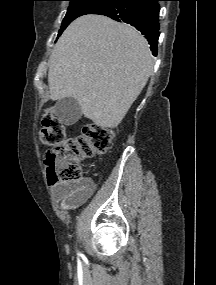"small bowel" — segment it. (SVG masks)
Listing matches in <instances>:
<instances>
[{"label": "small bowel", "mask_w": 216, "mask_h": 285, "mask_svg": "<svg viewBox=\"0 0 216 285\" xmlns=\"http://www.w3.org/2000/svg\"><path fill=\"white\" fill-rule=\"evenodd\" d=\"M95 184L89 178L75 183H58L53 185L54 197L65 209H74L86 202L94 193Z\"/></svg>", "instance_id": "1"}]
</instances>
